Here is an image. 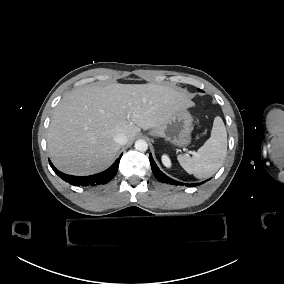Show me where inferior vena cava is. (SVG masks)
Instances as JSON below:
<instances>
[{
	"mask_svg": "<svg viewBox=\"0 0 284 284\" xmlns=\"http://www.w3.org/2000/svg\"><path fill=\"white\" fill-rule=\"evenodd\" d=\"M114 141L120 145H125L128 141L127 136L123 133H118L114 136Z\"/></svg>",
	"mask_w": 284,
	"mask_h": 284,
	"instance_id": "inferior-vena-cava-1",
	"label": "inferior vena cava"
}]
</instances>
